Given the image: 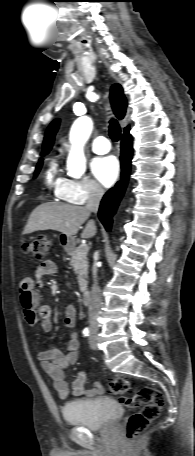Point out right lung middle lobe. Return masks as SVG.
Returning a JSON list of instances; mask_svg holds the SVG:
<instances>
[{
  "mask_svg": "<svg viewBox=\"0 0 195 456\" xmlns=\"http://www.w3.org/2000/svg\"><path fill=\"white\" fill-rule=\"evenodd\" d=\"M41 166H42V159L39 160V163L37 164V167H36V170H35V177L37 176V174L39 173L40 169H41Z\"/></svg>",
  "mask_w": 195,
  "mask_h": 456,
  "instance_id": "1",
  "label": "right lung middle lobe"
}]
</instances>
